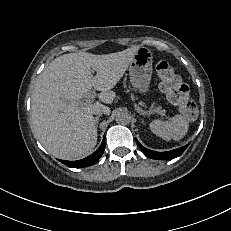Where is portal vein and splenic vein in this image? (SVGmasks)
Returning <instances> with one entry per match:
<instances>
[{
  "mask_svg": "<svg viewBox=\"0 0 231 231\" xmlns=\"http://www.w3.org/2000/svg\"><path fill=\"white\" fill-rule=\"evenodd\" d=\"M95 97V92H89L85 95V98L82 101L77 102V104H90L93 102ZM135 109L137 110L138 113L142 114V115H150L152 113V111L147 112L142 110L139 106H137L136 104L134 105ZM156 112V111H155Z\"/></svg>",
  "mask_w": 231,
  "mask_h": 231,
  "instance_id": "obj_1",
  "label": "portal vein and splenic vein"
}]
</instances>
